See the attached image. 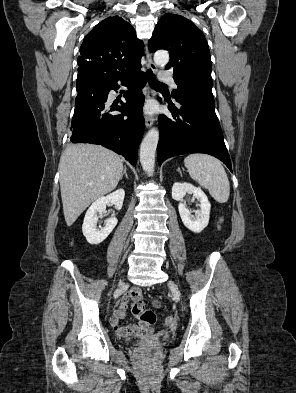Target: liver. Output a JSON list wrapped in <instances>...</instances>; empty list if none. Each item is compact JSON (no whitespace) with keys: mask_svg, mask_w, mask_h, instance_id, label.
<instances>
[{"mask_svg":"<svg viewBox=\"0 0 296 393\" xmlns=\"http://www.w3.org/2000/svg\"><path fill=\"white\" fill-rule=\"evenodd\" d=\"M122 171V159L109 149L92 144L68 146L59 162L67 226H71L94 200L113 191Z\"/></svg>","mask_w":296,"mask_h":393,"instance_id":"obj_1","label":"liver"}]
</instances>
